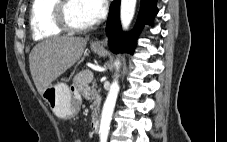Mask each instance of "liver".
<instances>
[{
  "label": "liver",
  "mask_w": 227,
  "mask_h": 142,
  "mask_svg": "<svg viewBox=\"0 0 227 142\" xmlns=\"http://www.w3.org/2000/svg\"><path fill=\"white\" fill-rule=\"evenodd\" d=\"M87 40L74 36H57L34 46L29 65L34 84L40 95L82 56Z\"/></svg>",
  "instance_id": "obj_1"
}]
</instances>
